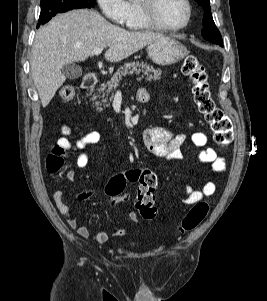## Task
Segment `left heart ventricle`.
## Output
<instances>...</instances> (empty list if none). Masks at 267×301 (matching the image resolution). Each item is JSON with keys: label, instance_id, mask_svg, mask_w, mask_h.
<instances>
[{"label": "left heart ventricle", "instance_id": "left-heart-ventricle-1", "mask_svg": "<svg viewBox=\"0 0 267 301\" xmlns=\"http://www.w3.org/2000/svg\"><path fill=\"white\" fill-rule=\"evenodd\" d=\"M156 12L163 23L171 26L182 24L187 16L183 0H159Z\"/></svg>", "mask_w": 267, "mask_h": 301}]
</instances>
